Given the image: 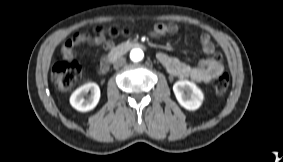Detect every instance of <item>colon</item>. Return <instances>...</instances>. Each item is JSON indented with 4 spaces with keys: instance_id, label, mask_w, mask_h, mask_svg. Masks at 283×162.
Returning <instances> with one entry per match:
<instances>
[{
    "instance_id": "1",
    "label": "colon",
    "mask_w": 283,
    "mask_h": 162,
    "mask_svg": "<svg viewBox=\"0 0 283 162\" xmlns=\"http://www.w3.org/2000/svg\"><path fill=\"white\" fill-rule=\"evenodd\" d=\"M96 35H104V28L97 26L94 29ZM108 34L112 37L129 34L128 28L112 26L108 29ZM81 73L79 64L75 61H59L52 68V78L57 86L63 90L71 89L77 82ZM230 78L227 73H222L214 81V90L217 94H224L229 87Z\"/></svg>"
}]
</instances>
